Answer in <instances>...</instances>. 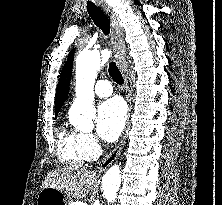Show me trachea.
Returning a JSON list of instances; mask_svg holds the SVG:
<instances>
[{"mask_svg":"<svg viewBox=\"0 0 222 205\" xmlns=\"http://www.w3.org/2000/svg\"><path fill=\"white\" fill-rule=\"evenodd\" d=\"M87 11L89 13V16L93 20L94 24L99 27V29L102 30V32L105 35H108L110 32V22L104 12L94 6L87 7ZM108 72L110 77L119 85L123 84L124 79L120 72V70L117 68L115 62H111L109 64Z\"/></svg>","mask_w":222,"mask_h":205,"instance_id":"1","label":"trachea"}]
</instances>
